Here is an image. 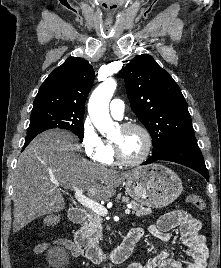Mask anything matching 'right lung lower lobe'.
I'll return each instance as SVG.
<instances>
[{"instance_id":"right-lung-lower-lobe-1","label":"right lung lower lobe","mask_w":221,"mask_h":268,"mask_svg":"<svg viewBox=\"0 0 221 268\" xmlns=\"http://www.w3.org/2000/svg\"><path fill=\"white\" fill-rule=\"evenodd\" d=\"M35 136H36V135H33V136H27V137H26V140H25V144H24L23 149H25V147L30 143V141H31Z\"/></svg>"}]
</instances>
